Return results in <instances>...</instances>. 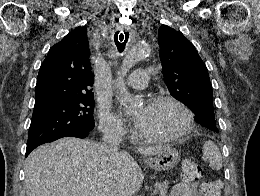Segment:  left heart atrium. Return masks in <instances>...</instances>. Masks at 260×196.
Here are the masks:
<instances>
[{
	"label": "left heart atrium",
	"mask_w": 260,
	"mask_h": 196,
	"mask_svg": "<svg viewBox=\"0 0 260 196\" xmlns=\"http://www.w3.org/2000/svg\"><path fill=\"white\" fill-rule=\"evenodd\" d=\"M144 119H145V109H143L141 112H139L135 118L134 122L135 124L141 128L144 124ZM95 192H117V190H97Z\"/></svg>",
	"instance_id": "1"
}]
</instances>
